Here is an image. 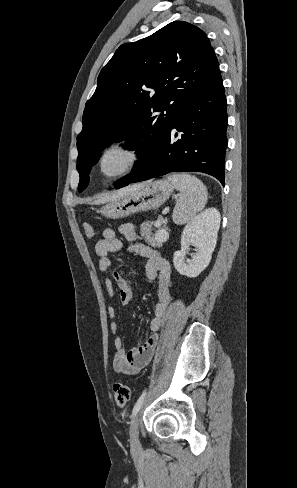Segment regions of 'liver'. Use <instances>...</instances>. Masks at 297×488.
Listing matches in <instances>:
<instances>
[{
    "instance_id": "liver-1",
    "label": "liver",
    "mask_w": 297,
    "mask_h": 488,
    "mask_svg": "<svg viewBox=\"0 0 297 488\" xmlns=\"http://www.w3.org/2000/svg\"><path fill=\"white\" fill-rule=\"evenodd\" d=\"M148 183H142V184H136L132 185L126 188H123L121 190H118L117 192H111L106 194L104 197H102L99 201L100 202H108V201H113L119 198L120 196L129 193V192H134L140 188H143L147 185Z\"/></svg>"
}]
</instances>
